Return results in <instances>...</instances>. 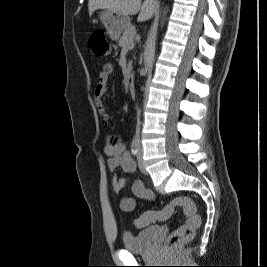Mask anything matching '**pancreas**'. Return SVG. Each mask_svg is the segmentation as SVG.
<instances>
[{
	"mask_svg": "<svg viewBox=\"0 0 267 267\" xmlns=\"http://www.w3.org/2000/svg\"><path fill=\"white\" fill-rule=\"evenodd\" d=\"M136 33L135 27L133 25H129L123 32L120 40L119 45L121 47H127V45L131 42H133L132 38L133 35Z\"/></svg>",
	"mask_w": 267,
	"mask_h": 267,
	"instance_id": "1",
	"label": "pancreas"
}]
</instances>
